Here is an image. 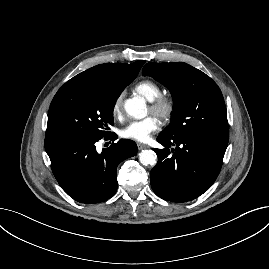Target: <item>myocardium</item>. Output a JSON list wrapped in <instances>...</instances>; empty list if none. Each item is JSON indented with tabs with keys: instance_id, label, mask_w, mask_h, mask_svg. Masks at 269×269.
Segmentation results:
<instances>
[{
	"instance_id": "f54148a6",
	"label": "myocardium",
	"mask_w": 269,
	"mask_h": 269,
	"mask_svg": "<svg viewBox=\"0 0 269 269\" xmlns=\"http://www.w3.org/2000/svg\"><path fill=\"white\" fill-rule=\"evenodd\" d=\"M149 110L162 122H168L175 112V100L169 95H159L151 101Z\"/></svg>"
}]
</instances>
